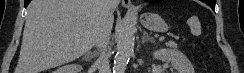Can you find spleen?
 <instances>
[{
    "mask_svg": "<svg viewBox=\"0 0 244 73\" xmlns=\"http://www.w3.org/2000/svg\"><path fill=\"white\" fill-rule=\"evenodd\" d=\"M187 24L189 25L190 29H191V33L194 36H200L201 35V25L199 22L198 17L196 16H191L188 20H187Z\"/></svg>",
    "mask_w": 244,
    "mask_h": 73,
    "instance_id": "spleen-1",
    "label": "spleen"
}]
</instances>
